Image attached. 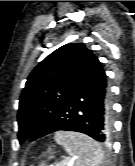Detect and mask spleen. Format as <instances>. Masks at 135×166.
Here are the masks:
<instances>
[{"label": "spleen", "instance_id": "3e777b00", "mask_svg": "<svg viewBox=\"0 0 135 166\" xmlns=\"http://www.w3.org/2000/svg\"><path fill=\"white\" fill-rule=\"evenodd\" d=\"M54 139L75 159L73 166H100L103 162L104 152L100 144L85 134L60 131L56 132Z\"/></svg>", "mask_w": 135, "mask_h": 166}]
</instances>
